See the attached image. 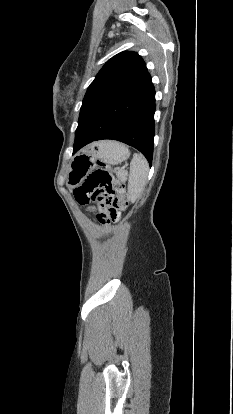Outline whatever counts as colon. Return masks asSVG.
<instances>
[{"label":"colon","mask_w":233,"mask_h":414,"mask_svg":"<svg viewBox=\"0 0 233 414\" xmlns=\"http://www.w3.org/2000/svg\"><path fill=\"white\" fill-rule=\"evenodd\" d=\"M75 196L80 204L92 200L98 205V220L102 224L114 221L129 205L124 182L114 179L103 163H99V167L76 189Z\"/></svg>","instance_id":"1"}]
</instances>
